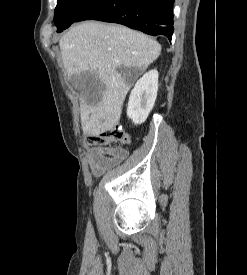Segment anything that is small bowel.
I'll list each match as a JSON object with an SVG mask.
<instances>
[{"label":"small bowel","mask_w":247,"mask_h":275,"mask_svg":"<svg viewBox=\"0 0 247 275\" xmlns=\"http://www.w3.org/2000/svg\"><path fill=\"white\" fill-rule=\"evenodd\" d=\"M127 155L128 152L123 147L94 146L90 149L87 160L93 176L99 177L119 165Z\"/></svg>","instance_id":"obj_1"}]
</instances>
